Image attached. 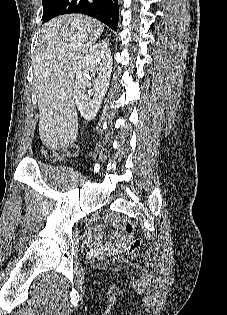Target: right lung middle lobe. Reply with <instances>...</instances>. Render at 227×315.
<instances>
[{
	"instance_id": "dd1d6c3e",
	"label": "right lung middle lobe",
	"mask_w": 227,
	"mask_h": 315,
	"mask_svg": "<svg viewBox=\"0 0 227 315\" xmlns=\"http://www.w3.org/2000/svg\"><path fill=\"white\" fill-rule=\"evenodd\" d=\"M57 0H42V3H43V15H44V12L47 10V8L49 6H51L53 3H55Z\"/></svg>"
}]
</instances>
